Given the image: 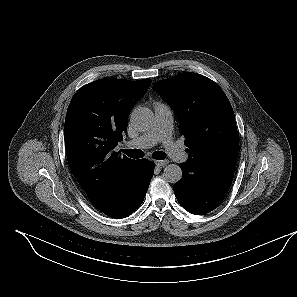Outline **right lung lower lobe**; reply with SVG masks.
Instances as JSON below:
<instances>
[{
    "instance_id": "98d812e1",
    "label": "right lung lower lobe",
    "mask_w": 297,
    "mask_h": 297,
    "mask_svg": "<svg viewBox=\"0 0 297 297\" xmlns=\"http://www.w3.org/2000/svg\"><path fill=\"white\" fill-rule=\"evenodd\" d=\"M154 172V164L147 159L137 160L135 170L102 211L112 218L132 214L143 202Z\"/></svg>"
}]
</instances>
